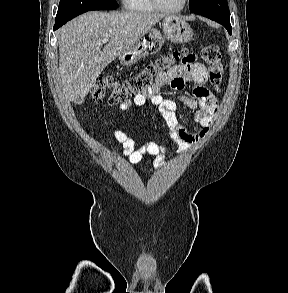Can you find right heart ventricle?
<instances>
[{"label":"right heart ventricle","mask_w":288,"mask_h":293,"mask_svg":"<svg viewBox=\"0 0 288 293\" xmlns=\"http://www.w3.org/2000/svg\"><path fill=\"white\" fill-rule=\"evenodd\" d=\"M124 6L129 11L153 12L156 10L151 0H123Z\"/></svg>","instance_id":"e07e8e85"}]
</instances>
